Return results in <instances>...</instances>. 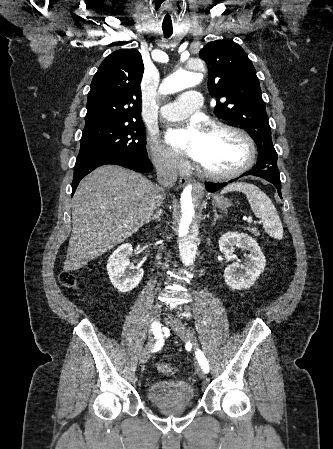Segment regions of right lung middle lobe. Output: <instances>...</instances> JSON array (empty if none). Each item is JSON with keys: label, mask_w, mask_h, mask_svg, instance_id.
<instances>
[{"label": "right lung middle lobe", "mask_w": 333, "mask_h": 449, "mask_svg": "<svg viewBox=\"0 0 333 449\" xmlns=\"http://www.w3.org/2000/svg\"><path fill=\"white\" fill-rule=\"evenodd\" d=\"M142 121L96 124L84 127L79 155L104 153L146 157Z\"/></svg>", "instance_id": "obj_1"}]
</instances>
